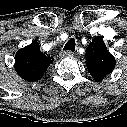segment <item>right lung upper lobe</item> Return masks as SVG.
<instances>
[{
  "label": "right lung upper lobe",
  "instance_id": "cb5924a9",
  "mask_svg": "<svg viewBox=\"0 0 127 127\" xmlns=\"http://www.w3.org/2000/svg\"><path fill=\"white\" fill-rule=\"evenodd\" d=\"M15 70L18 75L27 81H37L43 77L53 58L40 51L38 42L18 50L15 56Z\"/></svg>",
  "mask_w": 127,
  "mask_h": 127
}]
</instances>
